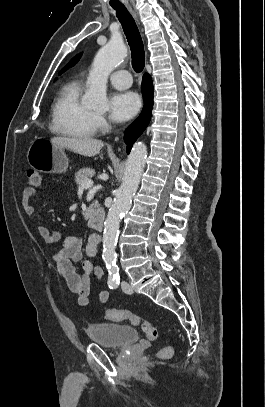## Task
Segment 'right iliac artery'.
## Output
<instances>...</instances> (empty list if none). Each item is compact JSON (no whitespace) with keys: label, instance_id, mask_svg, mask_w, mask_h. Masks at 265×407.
Instances as JSON below:
<instances>
[{"label":"right iliac artery","instance_id":"obj_1","mask_svg":"<svg viewBox=\"0 0 265 407\" xmlns=\"http://www.w3.org/2000/svg\"><path fill=\"white\" fill-rule=\"evenodd\" d=\"M119 285V280L117 278H112L108 280V286L110 289H116Z\"/></svg>","mask_w":265,"mask_h":407}]
</instances>
